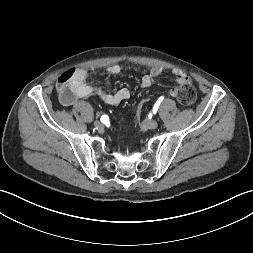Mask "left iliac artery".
<instances>
[{
  "mask_svg": "<svg viewBox=\"0 0 253 253\" xmlns=\"http://www.w3.org/2000/svg\"><path fill=\"white\" fill-rule=\"evenodd\" d=\"M164 97H160L157 102L155 103L154 107H153V112L156 113L158 108H159V105L160 103L163 101Z\"/></svg>",
  "mask_w": 253,
  "mask_h": 253,
  "instance_id": "1",
  "label": "left iliac artery"
}]
</instances>
